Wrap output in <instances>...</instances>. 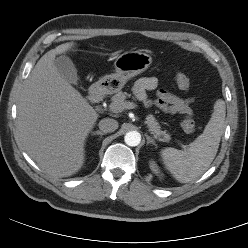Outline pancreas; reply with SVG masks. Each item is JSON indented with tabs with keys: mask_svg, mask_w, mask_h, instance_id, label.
Returning a JSON list of instances; mask_svg holds the SVG:
<instances>
[{
	"mask_svg": "<svg viewBox=\"0 0 248 248\" xmlns=\"http://www.w3.org/2000/svg\"><path fill=\"white\" fill-rule=\"evenodd\" d=\"M130 95L127 92H118L116 93L112 98V105L116 106L117 108H120L122 111L124 103H126V98ZM147 127L150 131V133L154 136V138L160 140V141H169L171 139V136L166 133V131H162L160 128V124L157 122L155 117L152 114H149L146 116Z\"/></svg>",
	"mask_w": 248,
	"mask_h": 248,
	"instance_id": "cf45deb5",
	"label": "pancreas"
}]
</instances>
